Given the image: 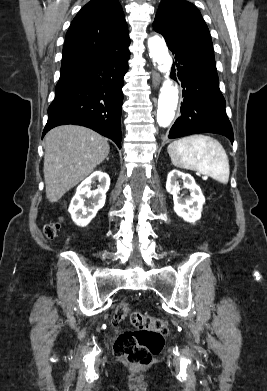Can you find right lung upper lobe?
Wrapping results in <instances>:
<instances>
[{"mask_svg": "<svg viewBox=\"0 0 267 391\" xmlns=\"http://www.w3.org/2000/svg\"><path fill=\"white\" fill-rule=\"evenodd\" d=\"M130 38L118 0H91L66 34L60 72L128 48Z\"/></svg>", "mask_w": 267, "mask_h": 391, "instance_id": "obj_1", "label": "right lung upper lobe"}]
</instances>
